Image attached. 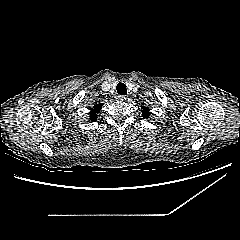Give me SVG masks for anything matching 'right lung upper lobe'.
<instances>
[{
    "instance_id": "1",
    "label": "right lung upper lobe",
    "mask_w": 240,
    "mask_h": 240,
    "mask_svg": "<svg viewBox=\"0 0 240 240\" xmlns=\"http://www.w3.org/2000/svg\"><path fill=\"white\" fill-rule=\"evenodd\" d=\"M102 108L101 104H97L93 109H91L90 112V120L94 121L97 119V113L100 111V109Z\"/></svg>"
}]
</instances>
